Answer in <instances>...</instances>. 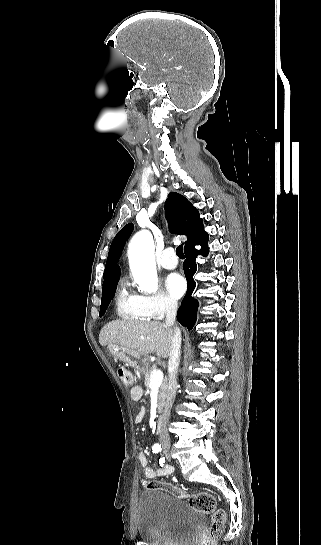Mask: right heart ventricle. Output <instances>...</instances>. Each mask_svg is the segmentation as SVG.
I'll return each mask as SVG.
<instances>
[{
  "label": "right heart ventricle",
  "instance_id": "e07e8e85",
  "mask_svg": "<svg viewBox=\"0 0 321 545\" xmlns=\"http://www.w3.org/2000/svg\"><path fill=\"white\" fill-rule=\"evenodd\" d=\"M115 309L117 316L125 321L145 322L148 320L140 309L137 296L125 288H120L117 292Z\"/></svg>",
  "mask_w": 321,
  "mask_h": 545
}]
</instances>
